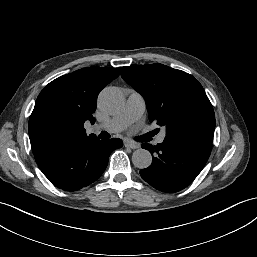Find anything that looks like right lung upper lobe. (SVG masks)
I'll list each match as a JSON object with an SVG mask.
<instances>
[{
	"instance_id": "1",
	"label": "right lung upper lobe",
	"mask_w": 257,
	"mask_h": 257,
	"mask_svg": "<svg viewBox=\"0 0 257 257\" xmlns=\"http://www.w3.org/2000/svg\"><path fill=\"white\" fill-rule=\"evenodd\" d=\"M120 68L88 67L63 75L40 92L29 118V138L35 159L96 137L86 135L84 122L93 113L100 91L119 76Z\"/></svg>"
}]
</instances>
